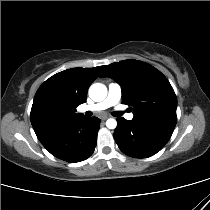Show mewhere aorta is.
Listing matches in <instances>:
<instances>
[{
	"instance_id": "1",
	"label": "aorta",
	"mask_w": 210,
	"mask_h": 210,
	"mask_svg": "<svg viewBox=\"0 0 210 210\" xmlns=\"http://www.w3.org/2000/svg\"><path fill=\"white\" fill-rule=\"evenodd\" d=\"M89 96L95 102L103 101L107 96V87L101 83L92 84L89 88ZM106 126L109 129H115L117 126V121L110 118L106 121Z\"/></svg>"
}]
</instances>
